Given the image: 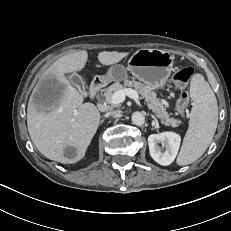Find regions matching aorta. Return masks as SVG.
I'll return each mask as SVG.
<instances>
[{
	"label": "aorta",
	"instance_id": "1",
	"mask_svg": "<svg viewBox=\"0 0 231 231\" xmlns=\"http://www.w3.org/2000/svg\"><path fill=\"white\" fill-rule=\"evenodd\" d=\"M131 119H132L133 124H135L137 126H141L145 122V117L141 112H134L132 114Z\"/></svg>",
	"mask_w": 231,
	"mask_h": 231
}]
</instances>
